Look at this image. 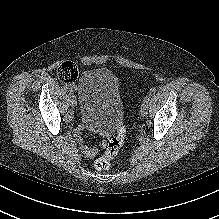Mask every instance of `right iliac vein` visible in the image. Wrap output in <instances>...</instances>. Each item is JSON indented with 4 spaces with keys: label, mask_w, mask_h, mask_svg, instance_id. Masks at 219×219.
<instances>
[{
    "label": "right iliac vein",
    "mask_w": 219,
    "mask_h": 219,
    "mask_svg": "<svg viewBox=\"0 0 219 219\" xmlns=\"http://www.w3.org/2000/svg\"><path fill=\"white\" fill-rule=\"evenodd\" d=\"M70 105H71L72 108H75L76 105H77V101H76V98H75L74 95L70 96Z\"/></svg>",
    "instance_id": "1"
}]
</instances>
